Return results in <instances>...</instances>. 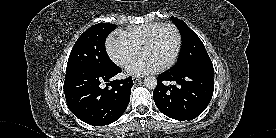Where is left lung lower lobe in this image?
Masks as SVG:
<instances>
[{"label":"left lung lower lobe","instance_id":"obj_1","mask_svg":"<svg viewBox=\"0 0 276 138\" xmlns=\"http://www.w3.org/2000/svg\"><path fill=\"white\" fill-rule=\"evenodd\" d=\"M213 65L185 71L168 70L160 74L153 92L157 108L166 116L192 120L200 115L211 101L214 91ZM167 81L173 84H167Z\"/></svg>","mask_w":276,"mask_h":138}]
</instances>
